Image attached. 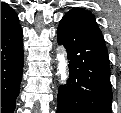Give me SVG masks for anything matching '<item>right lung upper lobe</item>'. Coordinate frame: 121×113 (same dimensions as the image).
I'll list each match as a JSON object with an SVG mask.
<instances>
[{"instance_id": "cb5924a9", "label": "right lung upper lobe", "mask_w": 121, "mask_h": 113, "mask_svg": "<svg viewBox=\"0 0 121 113\" xmlns=\"http://www.w3.org/2000/svg\"><path fill=\"white\" fill-rule=\"evenodd\" d=\"M16 12L7 4L1 2V35L18 25Z\"/></svg>"}]
</instances>
